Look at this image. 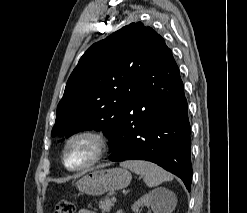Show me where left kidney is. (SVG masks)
Segmentation results:
<instances>
[{
    "label": "left kidney",
    "instance_id": "1",
    "mask_svg": "<svg viewBox=\"0 0 247 213\" xmlns=\"http://www.w3.org/2000/svg\"><path fill=\"white\" fill-rule=\"evenodd\" d=\"M164 198L165 195L161 192V190L149 192L132 205V210L134 213H139V209L141 207L148 206L151 207L154 213H164L162 209Z\"/></svg>",
    "mask_w": 247,
    "mask_h": 213
}]
</instances>
